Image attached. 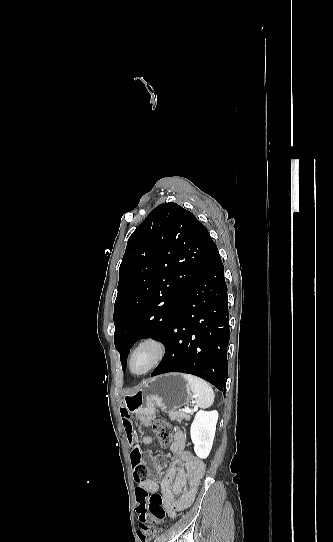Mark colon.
I'll return each instance as SVG.
<instances>
[{"label": "colon", "instance_id": "obj_1", "mask_svg": "<svg viewBox=\"0 0 333 542\" xmlns=\"http://www.w3.org/2000/svg\"><path fill=\"white\" fill-rule=\"evenodd\" d=\"M152 430L162 446H170L173 443V428L163 419H157L152 423ZM180 434V433H179ZM134 474L139 481H143L152 474L149 463L132 461ZM136 498L139 502L138 516L132 517L133 523H139V530L146 537H153L158 532V524L167 517L162 497L158 493L148 494L142 487L136 491Z\"/></svg>", "mask_w": 333, "mask_h": 542}]
</instances>
